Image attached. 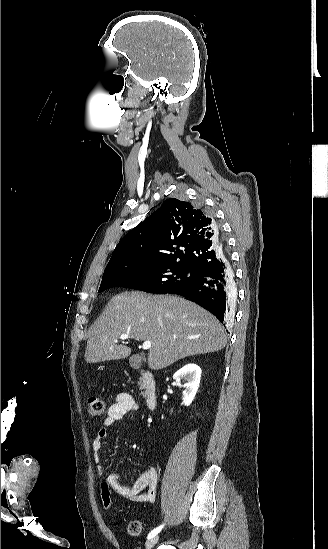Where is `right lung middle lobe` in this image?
<instances>
[{
  "label": "right lung middle lobe",
  "mask_w": 328,
  "mask_h": 549,
  "mask_svg": "<svg viewBox=\"0 0 328 549\" xmlns=\"http://www.w3.org/2000/svg\"><path fill=\"white\" fill-rule=\"evenodd\" d=\"M198 271L156 261L128 260L104 272L98 292L115 286H124L151 293H164L190 283Z\"/></svg>",
  "instance_id": "right-lung-middle-lobe-1"
}]
</instances>
